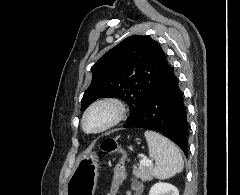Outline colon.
<instances>
[{
  "label": "colon",
  "mask_w": 240,
  "mask_h": 195,
  "mask_svg": "<svg viewBox=\"0 0 240 195\" xmlns=\"http://www.w3.org/2000/svg\"><path fill=\"white\" fill-rule=\"evenodd\" d=\"M104 150L106 152H113L116 151L117 154H119L120 156V160L118 161V163L116 164L112 175H113V181H112V187H111V195H115L116 192L119 191L120 187V183L121 181L124 180L125 178V172L123 170V168L125 167L129 155L126 151L123 150L122 147H117V143L114 140H107L104 144Z\"/></svg>",
  "instance_id": "1"
}]
</instances>
